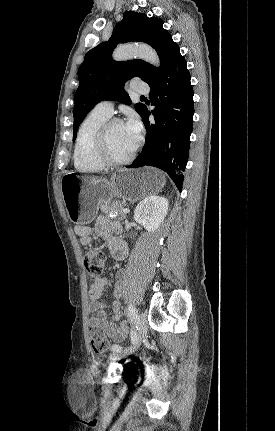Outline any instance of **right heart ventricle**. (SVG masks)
<instances>
[{
    "label": "right heart ventricle",
    "mask_w": 275,
    "mask_h": 431,
    "mask_svg": "<svg viewBox=\"0 0 275 431\" xmlns=\"http://www.w3.org/2000/svg\"><path fill=\"white\" fill-rule=\"evenodd\" d=\"M108 119L109 116L94 109L81 122L73 154L74 165L80 172L95 173L105 168L95 155L94 145L100 127Z\"/></svg>",
    "instance_id": "e07e8e85"
}]
</instances>
